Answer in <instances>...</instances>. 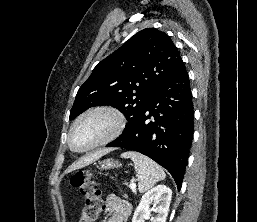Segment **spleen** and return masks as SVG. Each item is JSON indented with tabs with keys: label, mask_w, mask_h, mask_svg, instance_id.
I'll list each match as a JSON object with an SVG mask.
<instances>
[{
	"label": "spleen",
	"mask_w": 257,
	"mask_h": 222,
	"mask_svg": "<svg viewBox=\"0 0 257 222\" xmlns=\"http://www.w3.org/2000/svg\"><path fill=\"white\" fill-rule=\"evenodd\" d=\"M122 158H130L134 162L135 171L139 178L138 189L141 193L149 190L156 182L165 179L163 169L150 158L134 151L121 154Z\"/></svg>",
	"instance_id": "obj_1"
}]
</instances>
